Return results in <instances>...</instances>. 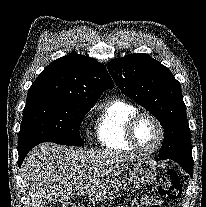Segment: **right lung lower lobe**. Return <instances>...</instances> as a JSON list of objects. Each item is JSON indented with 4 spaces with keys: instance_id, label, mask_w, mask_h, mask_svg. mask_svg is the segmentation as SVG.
Listing matches in <instances>:
<instances>
[{
    "instance_id": "98d812e1",
    "label": "right lung lower lobe",
    "mask_w": 206,
    "mask_h": 207,
    "mask_svg": "<svg viewBox=\"0 0 206 207\" xmlns=\"http://www.w3.org/2000/svg\"><path fill=\"white\" fill-rule=\"evenodd\" d=\"M28 152H29V150L19 152V159H18V165L19 166L22 164V161H23V159L25 158V156L27 155Z\"/></svg>"
}]
</instances>
